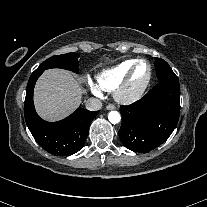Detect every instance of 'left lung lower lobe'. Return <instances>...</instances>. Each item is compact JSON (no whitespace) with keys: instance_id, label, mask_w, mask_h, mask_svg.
<instances>
[{"instance_id":"obj_1","label":"left lung lower lobe","mask_w":207,"mask_h":207,"mask_svg":"<svg viewBox=\"0 0 207 207\" xmlns=\"http://www.w3.org/2000/svg\"><path fill=\"white\" fill-rule=\"evenodd\" d=\"M119 137L130 150L146 153L160 146L175 129L180 114L177 77L164 79L137 102L121 106Z\"/></svg>"}]
</instances>
